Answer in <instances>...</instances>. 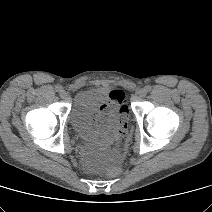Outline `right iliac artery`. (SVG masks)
Instances as JSON below:
<instances>
[{
	"instance_id": "right-iliac-artery-1",
	"label": "right iliac artery",
	"mask_w": 212,
	"mask_h": 212,
	"mask_svg": "<svg viewBox=\"0 0 212 212\" xmlns=\"http://www.w3.org/2000/svg\"><path fill=\"white\" fill-rule=\"evenodd\" d=\"M62 89V87L60 85L56 86V91L59 92Z\"/></svg>"
}]
</instances>
